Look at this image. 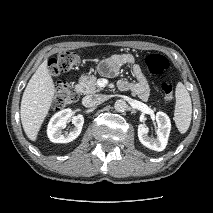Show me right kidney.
Here are the masks:
<instances>
[{
    "mask_svg": "<svg viewBox=\"0 0 213 213\" xmlns=\"http://www.w3.org/2000/svg\"><path fill=\"white\" fill-rule=\"evenodd\" d=\"M69 119H71L75 128L70 133L62 134V129L66 127V123ZM83 123V115L72 116L71 109L61 110L51 118L47 128V135L51 142L68 143L80 135Z\"/></svg>",
    "mask_w": 213,
    "mask_h": 213,
    "instance_id": "right-kidney-1",
    "label": "right kidney"
}]
</instances>
